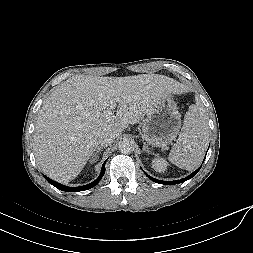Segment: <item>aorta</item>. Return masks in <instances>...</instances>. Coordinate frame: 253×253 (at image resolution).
Instances as JSON below:
<instances>
[{"label": "aorta", "mask_w": 253, "mask_h": 253, "mask_svg": "<svg viewBox=\"0 0 253 253\" xmlns=\"http://www.w3.org/2000/svg\"><path fill=\"white\" fill-rule=\"evenodd\" d=\"M118 148L121 153L130 154L135 149V143L134 141L125 138L119 142Z\"/></svg>", "instance_id": "aorta-1"}]
</instances>
